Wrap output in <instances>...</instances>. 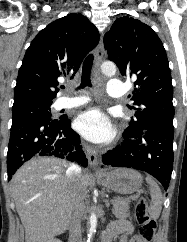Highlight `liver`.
<instances>
[{"instance_id":"6515ba94","label":"liver","mask_w":187,"mask_h":242,"mask_svg":"<svg viewBox=\"0 0 187 242\" xmlns=\"http://www.w3.org/2000/svg\"><path fill=\"white\" fill-rule=\"evenodd\" d=\"M67 169L65 160L35 158L13 176L12 195L25 228L26 242H49L64 233L70 224L77 190L86 197L91 175L83 172L71 180Z\"/></svg>"}]
</instances>
